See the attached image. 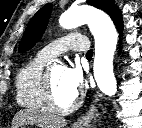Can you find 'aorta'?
Here are the masks:
<instances>
[{"instance_id":"1","label":"aorta","mask_w":142,"mask_h":128,"mask_svg":"<svg viewBox=\"0 0 142 128\" xmlns=\"http://www.w3.org/2000/svg\"><path fill=\"white\" fill-rule=\"evenodd\" d=\"M59 24L72 29L87 24L95 39L94 77L99 89L108 96L117 92L113 73V58L118 34L112 20L104 13L89 7L70 8L59 18Z\"/></svg>"}]
</instances>
